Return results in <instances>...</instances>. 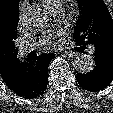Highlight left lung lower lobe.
I'll return each instance as SVG.
<instances>
[{
	"mask_svg": "<svg viewBox=\"0 0 113 113\" xmlns=\"http://www.w3.org/2000/svg\"><path fill=\"white\" fill-rule=\"evenodd\" d=\"M78 50H83L88 44L76 42ZM95 60L94 69L86 74H77L78 84L85 90L96 92L106 88L113 80V47L102 42L90 44Z\"/></svg>",
	"mask_w": 113,
	"mask_h": 113,
	"instance_id": "1",
	"label": "left lung lower lobe"
}]
</instances>
